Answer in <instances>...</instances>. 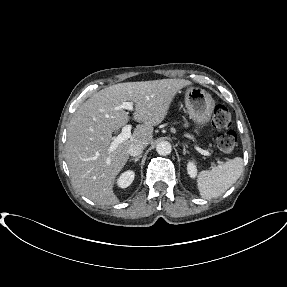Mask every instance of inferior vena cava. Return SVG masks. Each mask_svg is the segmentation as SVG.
Listing matches in <instances>:
<instances>
[{
    "mask_svg": "<svg viewBox=\"0 0 287 287\" xmlns=\"http://www.w3.org/2000/svg\"><path fill=\"white\" fill-rule=\"evenodd\" d=\"M144 145L140 142H135V143H132L130 146H129V149H128V153L130 156H139L141 155L143 149H144Z\"/></svg>",
    "mask_w": 287,
    "mask_h": 287,
    "instance_id": "inferior-vena-cava-1",
    "label": "inferior vena cava"
}]
</instances>
